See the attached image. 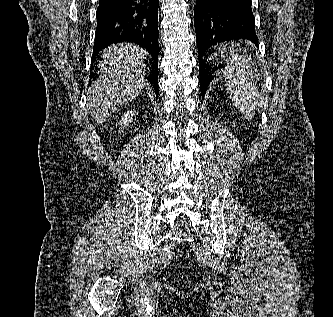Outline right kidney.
I'll use <instances>...</instances> for the list:
<instances>
[{
	"instance_id": "obj_1",
	"label": "right kidney",
	"mask_w": 333,
	"mask_h": 317,
	"mask_svg": "<svg viewBox=\"0 0 333 317\" xmlns=\"http://www.w3.org/2000/svg\"><path fill=\"white\" fill-rule=\"evenodd\" d=\"M134 116H135L134 111L129 110L121 116V119L118 122V124L119 125H128L129 123H131L133 121Z\"/></svg>"
}]
</instances>
